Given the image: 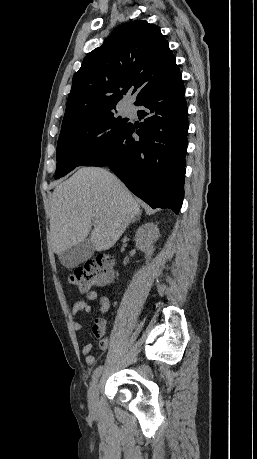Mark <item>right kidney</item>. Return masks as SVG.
Listing matches in <instances>:
<instances>
[{"instance_id":"1","label":"right kidney","mask_w":257,"mask_h":459,"mask_svg":"<svg viewBox=\"0 0 257 459\" xmlns=\"http://www.w3.org/2000/svg\"><path fill=\"white\" fill-rule=\"evenodd\" d=\"M160 233L157 225L152 222L142 225L136 232L135 243L137 248L145 252L146 259H150L155 248L154 243L159 238Z\"/></svg>"}]
</instances>
